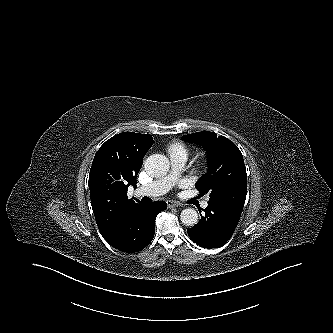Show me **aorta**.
Returning a JSON list of instances; mask_svg holds the SVG:
<instances>
[{"mask_svg":"<svg viewBox=\"0 0 333 333\" xmlns=\"http://www.w3.org/2000/svg\"><path fill=\"white\" fill-rule=\"evenodd\" d=\"M146 172L153 177H162L170 168L169 159L161 154L150 155L144 163ZM181 222L186 226H194L198 222V213L193 208H186L180 214Z\"/></svg>","mask_w":333,"mask_h":333,"instance_id":"1","label":"aorta"}]
</instances>
